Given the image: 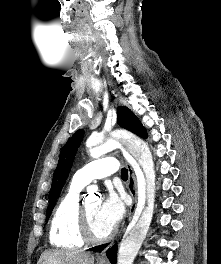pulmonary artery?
<instances>
[{
    "label": "pulmonary artery",
    "mask_w": 221,
    "mask_h": 264,
    "mask_svg": "<svg viewBox=\"0 0 221 264\" xmlns=\"http://www.w3.org/2000/svg\"><path fill=\"white\" fill-rule=\"evenodd\" d=\"M119 169L118 162L113 157H107L92 161L78 169L73 175L72 181L82 186L90 182L108 177Z\"/></svg>",
    "instance_id": "obj_1"
}]
</instances>
